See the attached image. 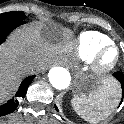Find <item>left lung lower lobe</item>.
<instances>
[{"label":"left lung lower lobe","instance_id":"1","mask_svg":"<svg viewBox=\"0 0 124 124\" xmlns=\"http://www.w3.org/2000/svg\"><path fill=\"white\" fill-rule=\"evenodd\" d=\"M121 84V88H122V99L121 102L123 101V97H124V75L122 72L118 71L115 72L113 75ZM118 102V101H117ZM121 104V103H120ZM56 110H58V108L55 105Z\"/></svg>","mask_w":124,"mask_h":124}]
</instances>
